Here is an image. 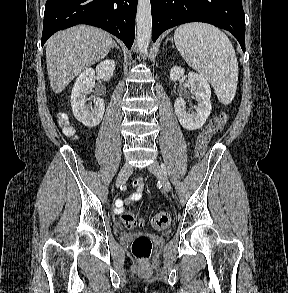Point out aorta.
<instances>
[{"label":"aorta","instance_id":"762f6f07","mask_svg":"<svg viewBox=\"0 0 288 293\" xmlns=\"http://www.w3.org/2000/svg\"><path fill=\"white\" fill-rule=\"evenodd\" d=\"M137 49L142 54L147 53L152 34V16L150 0H138L137 14Z\"/></svg>","mask_w":288,"mask_h":293}]
</instances>
